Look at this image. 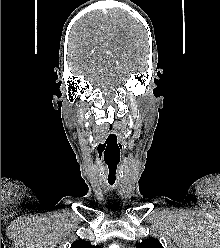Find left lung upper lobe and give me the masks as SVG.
<instances>
[{
  "label": "left lung upper lobe",
  "instance_id": "obj_1",
  "mask_svg": "<svg viewBox=\"0 0 220 248\" xmlns=\"http://www.w3.org/2000/svg\"><path fill=\"white\" fill-rule=\"evenodd\" d=\"M136 248H163V246L155 239H147L141 243H137Z\"/></svg>",
  "mask_w": 220,
  "mask_h": 248
}]
</instances>
